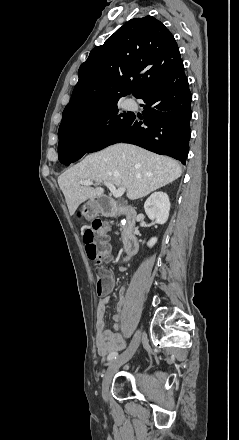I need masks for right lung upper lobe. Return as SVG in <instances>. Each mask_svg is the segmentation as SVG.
Instances as JSON below:
<instances>
[{
	"label": "right lung upper lobe",
	"instance_id": "1",
	"mask_svg": "<svg viewBox=\"0 0 239 440\" xmlns=\"http://www.w3.org/2000/svg\"><path fill=\"white\" fill-rule=\"evenodd\" d=\"M171 32L151 16L134 18L93 48L78 70L79 80L62 121L95 111L132 93L141 95L180 62Z\"/></svg>",
	"mask_w": 239,
	"mask_h": 440
}]
</instances>
